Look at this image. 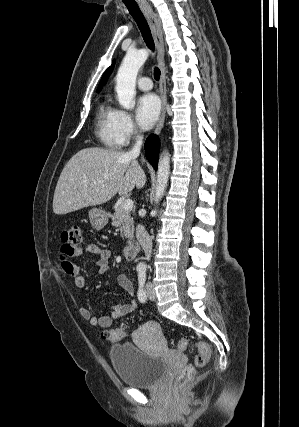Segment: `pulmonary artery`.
Listing matches in <instances>:
<instances>
[{
	"label": "pulmonary artery",
	"instance_id": "1",
	"mask_svg": "<svg viewBox=\"0 0 299 427\" xmlns=\"http://www.w3.org/2000/svg\"><path fill=\"white\" fill-rule=\"evenodd\" d=\"M137 86L141 90H150L152 88V81L149 77L143 76L137 80Z\"/></svg>",
	"mask_w": 299,
	"mask_h": 427
}]
</instances>
